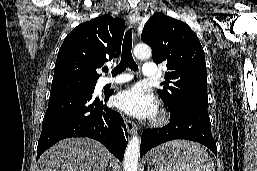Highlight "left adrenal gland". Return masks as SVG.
I'll use <instances>...</instances> for the list:
<instances>
[{"mask_svg":"<svg viewBox=\"0 0 257 171\" xmlns=\"http://www.w3.org/2000/svg\"><path fill=\"white\" fill-rule=\"evenodd\" d=\"M147 171H153V170H150V167L147 168Z\"/></svg>","mask_w":257,"mask_h":171,"instance_id":"1","label":"left adrenal gland"}]
</instances>
